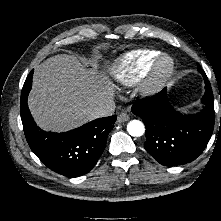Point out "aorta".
Wrapping results in <instances>:
<instances>
[{"instance_id": "aorta-1", "label": "aorta", "mask_w": 221, "mask_h": 221, "mask_svg": "<svg viewBox=\"0 0 221 221\" xmlns=\"http://www.w3.org/2000/svg\"><path fill=\"white\" fill-rule=\"evenodd\" d=\"M127 131L133 137H140L145 132V126L139 120H132L127 124Z\"/></svg>"}]
</instances>
